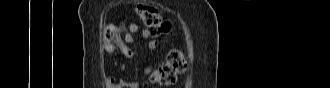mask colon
Wrapping results in <instances>:
<instances>
[{
	"mask_svg": "<svg viewBox=\"0 0 330 88\" xmlns=\"http://www.w3.org/2000/svg\"><path fill=\"white\" fill-rule=\"evenodd\" d=\"M136 13L139 23L146 28L152 38L156 39L170 32L171 22L163 18L160 10L147 5H139ZM122 37V28L119 25L108 24L103 28L102 40L108 51L117 46ZM154 46L155 41L151 43V47ZM187 65L184 53L180 49H172L163 62L148 66L146 74L151 82L168 87L175 83L177 77L186 70Z\"/></svg>",
	"mask_w": 330,
	"mask_h": 88,
	"instance_id": "colon-1",
	"label": "colon"
}]
</instances>
